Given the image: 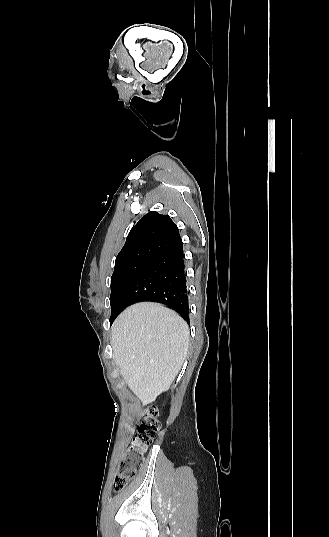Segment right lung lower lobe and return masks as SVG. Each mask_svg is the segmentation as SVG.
Listing matches in <instances>:
<instances>
[{"label": "right lung lower lobe", "instance_id": "right-lung-lower-lobe-1", "mask_svg": "<svg viewBox=\"0 0 329 537\" xmlns=\"http://www.w3.org/2000/svg\"><path fill=\"white\" fill-rule=\"evenodd\" d=\"M183 243L159 256L137 276L124 293L118 314L138 301H156L170 306L189 321V305ZM117 314V315H118ZM110 320V324L117 317Z\"/></svg>", "mask_w": 329, "mask_h": 537}]
</instances>
